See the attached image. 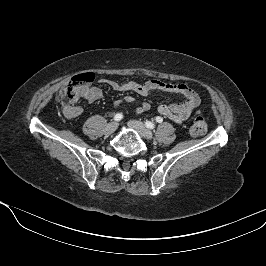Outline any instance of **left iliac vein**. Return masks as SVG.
<instances>
[{
	"mask_svg": "<svg viewBox=\"0 0 266 266\" xmlns=\"http://www.w3.org/2000/svg\"><path fill=\"white\" fill-rule=\"evenodd\" d=\"M129 127L135 129L142 137L152 139V132L140 121L131 120L128 122Z\"/></svg>",
	"mask_w": 266,
	"mask_h": 266,
	"instance_id": "left-iliac-vein-1",
	"label": "left iliac vein"
}]
</instances>
